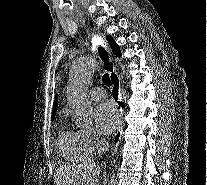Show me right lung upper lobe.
Instances as JSON below:
<instances>
[{
  "mask_svg": "<svg viewBox=\"0 0 207 185\" xmlns=\"http://www.w3.org/2000/svg\"><path fill=\"white\" fill-rule=\"evenodd\" d=\"M57 106H58V98H57V96H56V98H55V102H54V106H53L52 120H54L55 112H56Z\"/></svg>",
  "mask_w": 207,
  "mask_h": 185,
  "instance_id": "cb5924a9",
  "label": "right lung upper lobe"
}]
</instances>
